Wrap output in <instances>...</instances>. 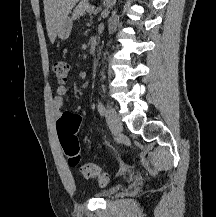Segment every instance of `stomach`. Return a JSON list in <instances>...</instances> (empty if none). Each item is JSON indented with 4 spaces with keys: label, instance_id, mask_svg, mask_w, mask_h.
I'll return each mask as SVG.
<instances>
[{
    "label": "stomach",
    "instance_id": "stomach-1",
    "mask_svg": "<svg viewBox=\"0 0 216 217\" xmlns=\"http://www.w3.org/2000/svg\"><path fill=\"white\" fill-rule=\"evenodd\" d=\"M71 30H72V19L67 17L63 21L61 27L57 32L58 38H60L61 40H66L69 37Z\"/></svg>",
    "mask_w": 216,
    "mask_h": 217
}]
</instances>
